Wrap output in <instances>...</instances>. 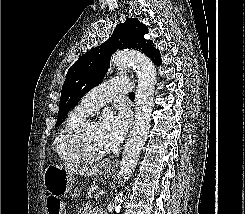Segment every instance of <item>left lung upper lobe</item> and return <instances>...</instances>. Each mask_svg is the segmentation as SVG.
Masks as SVG:
<instances>
[{"mask_svg": "<svg viewBox=\"0 0 245 214\" xmlns=\"http://www.w3.org/2000/svg\"><path fill=\"white\" fill-rule=\"evenodd\" d=\"M146 25L137 18H129L114 29L110 39L82 55L68 70L60 98V108L55 127L59 126L67 113L93 87L99 85L110 66L111 55L118 49H135L147 55L157 66L161 55L153 42L145 40Z\"/></svg>", "mask_w": 245, "mask_h": 214, "instance_id": "5c2ea615", "label": "left lung upper lobe"}]
</instances>
